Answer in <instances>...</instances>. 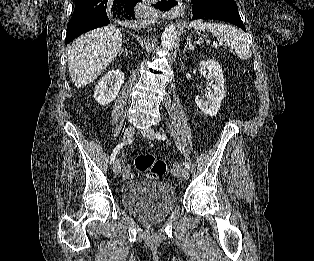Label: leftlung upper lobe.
<instances>
[{
  "label": "left lung upper lobe",
  "mask_w": 314,
  "mask_h": 261,
  "mask_svg": "<svg viewBox=\"0 0 314 261\" xmlns=\"http://www.w3.org/2000/svg\"><path fill=\"white\" fill-rule=\"evenodd\" d=\"M196 1L203 2V1H218V0H196ZM221 1H233V0H221Z\"/></svg>",
  "instance_id": "1"
}]
</instances>
